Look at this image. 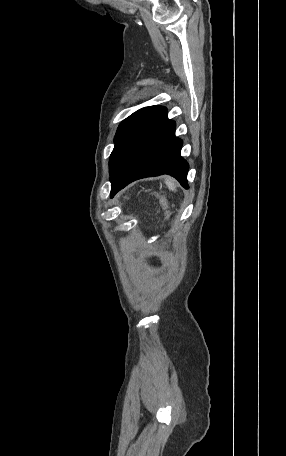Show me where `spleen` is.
Instances as JSON below:
<instances>
[{"mask_svg": "<svg viewBox=\"0 0 286 456\" xmlns=\"http://www.w3.org/2000/svg\"><path fill=\"white\" fill-rule=\"evenodd\" d=\"M165 183L170 191H176L177 190V183L174 179L170 177L165 178Z\"/></svg>", "mask_w": 286, "mask_h": 456, "instance_id": "obj_1", "label": "spleen"}]
</instances>
